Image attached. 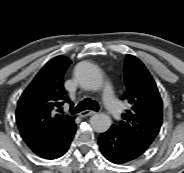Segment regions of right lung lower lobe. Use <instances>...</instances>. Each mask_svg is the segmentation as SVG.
<instances>
[{
  "instance_id": "right-lung-lower-lobe-1",
  "label": "right lung lower lobe",
  "mask_w": 184,
  "mask_h": 173,
  "mask_svg": "<svg viewBox=\"0 0 184 173\" xmlns=\"http://www.w3.org/2000/svg\"><path fill=\"white\" fill-rule=\"evenodd\" d=\"M75 132L76 125H73L51 141L31 148V150L41 158L49 160L57 159L67 152Z\"/></svg>"
}]
</instances>
